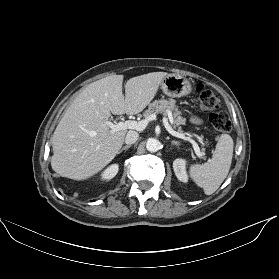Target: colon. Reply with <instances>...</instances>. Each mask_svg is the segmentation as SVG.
<instances>
[{"label": "colon", "mask_w": 279, "mask_h": 279, "mask_svg": "<svg viewBox=\"0 0 279 279\" xmlns=\"http://www.w3.org/2000/svg\"><path fill=\"white\" fill-rule=\"evenodd\" d=\"M199 109L209 116L214 129L219 133H228L231 129V121L228 114L222 110L221 100L214 92L204 89L202 85L197 86Z\"/></svg>", "instance_id": "1"}]
</instances>
